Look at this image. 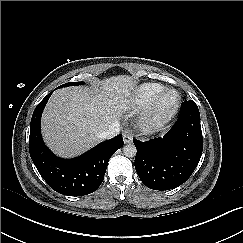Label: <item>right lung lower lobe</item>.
<instances>
[{
  "label": "right lung lower lobe",
  "instance_id": "1",
  "mask_svg": "<svg viewBox=\"0 0 243 243\" xmlns=\"http://www.w3.org/2000/svg\"><path fill=\"white\" fill-rule=\"evenodd\" d=\"M49 93L35 108L30 124L29 151L41 177L56 192L83 196L94 192L102 183L110 157L123 146L122 135L104 141L74 159L55 156L44 144L40 120L50 98Z\"/></svg>",
  "mask_w": 243,
  "mask_h": 243
}]
</instances>
